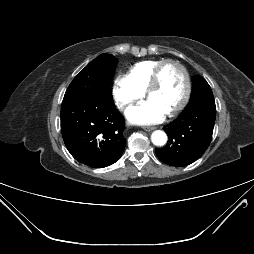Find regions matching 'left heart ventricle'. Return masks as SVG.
Here are the masks:
<instances>
[{
	"label": "left heart ventricle",
	"mask_w": 254,
	"mask_h": 254,
	"mask_svg": "<svg viewBox=\"0 0 254 254\" xmlns=\"http://www.w3.org/2000/svg\"><path fill=\"white\" fill-rule=\"evenodd\" d=\"M183 93L184 78L181 70L173 64H168L161 73L159 86L148 98L168 113L177 106Z\"/></svg>",
	"instance_id": "left-heart-ventricle-1"
}]
</instances>
